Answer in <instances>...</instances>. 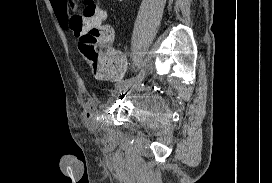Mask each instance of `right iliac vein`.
<instances>
[{
    "instance_id": "63e3f726",
    "label": "right iliac vein",
    "mask_w": 272,
    "mask_h": 183,
    "mask_svg": "<svg viewBox=\"0 0 272 183\" xmlns=\"http://www.w3.org/2000/svg\"><path fill=\"white\" fill-rule=\"evenodd\" d=\"M144 71H141L135 80L129 81V82H121L118 86H116V89L112 92V94H120L122 92H126V91H133L136 88L139 87L141 81L144 78Z\"/></svg>"
}]
</instances>
